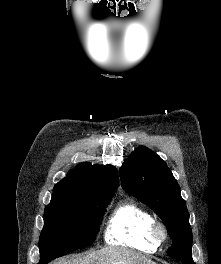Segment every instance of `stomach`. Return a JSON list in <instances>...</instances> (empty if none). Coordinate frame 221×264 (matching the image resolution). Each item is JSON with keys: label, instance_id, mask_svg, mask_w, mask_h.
I'll use <instances>...</instances> for the list:
<instances>
[{"label": "stomach", "instance_id": "0dacf381", "mask_svg": "<svg viewBox=\"0 0 221 264\" xmlns=\"http://www.w3.org/2000/svg\"><path fill=\"white\" fill-rule=\"evenodd\" d=\"M142 264H157V263L154 262V261H146V262H144V263H142Z\"/></svg>", "mask_w": 221, "mask_h": 264}]
</instances>
